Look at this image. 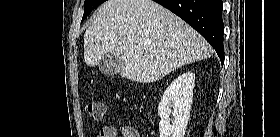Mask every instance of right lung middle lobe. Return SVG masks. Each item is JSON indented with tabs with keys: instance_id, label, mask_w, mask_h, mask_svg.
<instances>
[{
	"instance_id": "dd1d6c3e",
	"label": "right lung middle lobe",
	"mask_w": 280,
	"mask_h": 137,
	"mask_svg": "<svg viewBox=\"0 0 280 137\" xmlns=\"http://www.w3.org/2000/svg\"><path fill=\"white\" fill-rule=\"evenodd\" d=\"M104 1H106V0H85L84 15H83L81 22H83V20L92 12L93 9H95L97 6H99Z\"/></svg>"
}]
</instances>
